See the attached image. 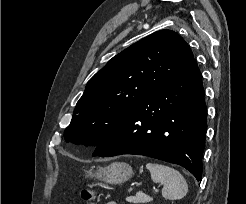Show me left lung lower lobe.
<instances>
[{
    "instance_id": "1",
    "label": "left lung lower lobe",
    "mask_w": 246,
    "mask_h": 204,
    "mask_svg": "<svg viewBox=\"0 0 246 204\" xmlns=\"http://www.w3.org/2000/svg\"><path fill=\"white\" fill-rule=\"evenodd\" d=\"M206 130L202 75L192 59L125 116L93 156H149L186 168L200 182Z\"/></svg>"
}]
</instances>
